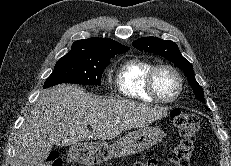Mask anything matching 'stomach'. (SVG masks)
<instances>
[{
  "instance_id": "stomach-1",
  "label": "stomach",
  "mask_w": 231,
  "mask_h": 166,
  "mask_svg": "<svg viewBox=\"0 0 231 166\" xmlns=\"http://www.w3.org/2000/svg\"><path fill=\"white\" fill-rule=\"evenodd\" d=\"M164 132L158 127H144L128 133L112 144L80 141L71 145L68 157L78 163L94 166L111 158L142 152L159 143Z\"/></svg>"
}]
</instances>
